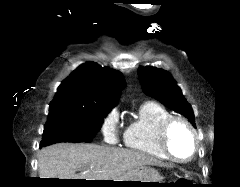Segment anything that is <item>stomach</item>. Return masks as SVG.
Returning a JSON list of instances; mask_svg holds the SVG:
<instances>
[{"mask_svg": "<svg viewBox=\"0 0 240 187\" xmlns=\"http://www.w3.org/2000/svg\"><path fill=\"white\" fill-rule=\"evenodd\" d=\"M123 181V182H113ZM158 182V183H142ZM161 182V176L157 170L151 167H142L122 175L118 179L111 180L110 186L119 187H158Z\"/></svg>", "mask_w": 240, "mask_h": 187, "instance_id": "1", "label": "stomach"}]
</instances>
